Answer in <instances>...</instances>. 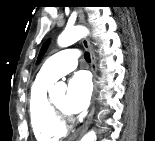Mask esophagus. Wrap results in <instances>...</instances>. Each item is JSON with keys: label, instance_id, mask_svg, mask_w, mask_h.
<instances>
[{"label": "esophagus", "instance_id": "1", "mask_svg": "<svg viewBox=\"0 0 155 141\" xmlns=\"http://www.w3.org/2000/svg\"><path fill=\"white\" fill-rule=\"evenodd\" d=\"M78 16H79V20L81 23H84V14L82 11H78ZM82 44H83V47L88 50V52L90 53V57H91V71L93 73V81H94V95H93V99H92V109L87 117V120L85 121L84 125L82 126V129L80 131V135H79V138L83 136V134L87 131L91 121H92V118H93V114H94V111H95V107H94V103H95V97H96V94H97V67H96V58H95V55H94V52L91 48V45L88 41V39L86 38H83L82 39Z\"/></svg>", "mask_w": 155, "mask_h": 141}]
</instances>
